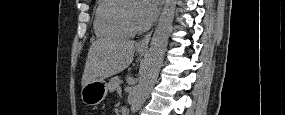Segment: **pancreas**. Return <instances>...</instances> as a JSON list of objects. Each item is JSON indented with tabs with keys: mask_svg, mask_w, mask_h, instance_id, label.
<instances>
[{
	"mask_svg": "<svg viewBox=\"0 0 285 115\" xmlns=\"http://www.w3.org/2000/svg\"><path fill=\"white\" fill-rule=\"evenodd\" d=\"M120 83H121V80L118 76L112 77L108 83L109 91L114 92V91L118 90Z\"/></svg>",
	"mask_w": 285,
	"mask_h": 115,
	"instance_id": "cf45deb5",
	"label": "pancreas"
}]
</instances>
